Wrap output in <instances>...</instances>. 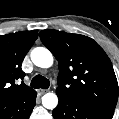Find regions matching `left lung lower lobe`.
Segmentation results:
<instances>
[{
	"label": "left lung lower lobe",
	"mask_w": 119,
	"mask_h": 119,
	"mask_svg": "<svg viewBox=\"0 0 119 119\" xmlns=\"http://www.w3.org/2000/svg\"><path fill=\"white\" fill-rule=\"evenodd\" d=\"M58 106L53 110L54 119H112L114 109L86 105L67 96H58Z\"/></svg>",
	"instance_id": "0a47b994"
}]
</instances>
